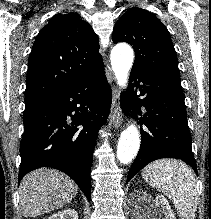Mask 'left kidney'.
Here are the masks:
<instances>
[{
  "label": "left kidney",
  "instance_id": "obj_1",
  "mask_svg": "<svg viewBox=\"0 0 211 219\" xmlns=\"http://www.w3.org/2000/svg\"><path fill=\"white\" fill-rule=\"evenodd\" d=\"M142 194L141 200H148L149 208L144 217L148 219H157L158 213H163L165 215L164 219H176L173 214L171 207L162 195H158L155 200L151 199V196L145 192H139ZM144 202V201H143Z\"/></svg>",
  "mask_w": 211,
  "mask_h": 219
}]
</instances>
